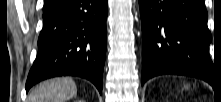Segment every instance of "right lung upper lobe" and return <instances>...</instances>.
Returning a JSON list of instances; mask_svg holds the SVG:
<instances>
[{
    "mask_svg": "<svg viewBox=\"0 0 221 102\" xmlns=\"http://www.w3.org/2000/svg\"><path fill=\"white\" fill-rule=\"evenodd\" d=\"M58 0H45L43 11L53 6Z\"/></svg>",
    "mask_w": 221,
    "mask_h": 102,
    "instance_id": "right-lung-upper-lobe-1",
    "label": "right lung upper lobe"
}]
</instances>
